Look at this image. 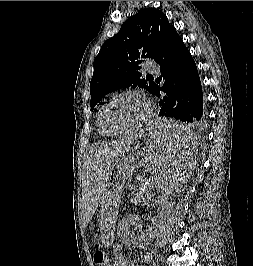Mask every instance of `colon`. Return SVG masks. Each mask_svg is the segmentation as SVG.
<instances>
[{
	"mask_svg": "<svg viewBox=\"0 0 253 266\" xmlns=\"http://www.w3.org/2000/svg\"><path fill=\"white\" fill-rule=\"evenodd\" d=\"M94 261L98 266H118V258H108L101 251L94 254Z\"/></svg>",
	"mask_w": 253,
	"mask_h": 266,
	"instance_id": "1",
	"label": "colon"
}]
</instances>
